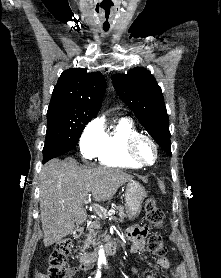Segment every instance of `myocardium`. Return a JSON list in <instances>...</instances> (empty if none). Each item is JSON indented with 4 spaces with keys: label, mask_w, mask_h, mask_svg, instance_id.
I'll return each mask as SVG.
<instances>
[{
    "label": "myocardium",
    "mask_w": 221,
    "mask_h": 278,
    "mask_svg": "<svg viewBox=\"0 0 221 278\" xmlns=\"http://www.w3.org/2000/svg\"><path fill=\"white\" fill-rule=\"evenodd\" d=\"M143 140L148 141L154 148L155 157H154L153 162H151V163H147V162L143 161L138 155V146H139L140 142ZM125 154L130 160H132L134 163H136L140 167H149V166L154 165L157 162L158 157H159V148H158L157 143L151 136H149L147 134H143V133H138L128 139L126 146H125Z\"/></svg>",
    "instance_id": "1"
}]
</instances>
